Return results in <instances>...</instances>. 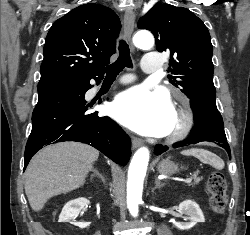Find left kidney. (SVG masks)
Returning a JSON list of instances; mask_svg holds the SVG:
<instances>
[{
	"instance_id": "5707ae66",
	"label": "left kidney",
	"mask_w": 250,
	"mask_h": 235,
	"mask_svg": "<svg viewBox=\"0 0 250 235\" xmlns=\"http://www.w3.org/2000/svg\"><path fill=\"white\" fill-rule=\"evenodd\" d=\"M178 212L187 215L190 222H176L175 226L180 230H188L195 226L198 222H205V218L199 205L192 201L186 200L179 204Z\"/></svg>"
}]
</instances>
